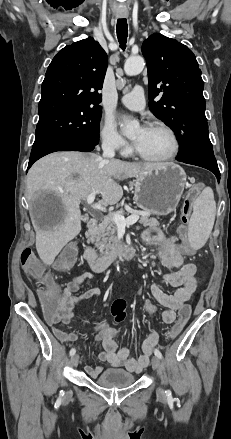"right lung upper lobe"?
Masks as SVG:
<instances>
[{
    "instance_id": "right-lung-upper-lobe-1",
    "label": "right lung upper lobe",
    "mask_w": 231,
    "mask_h": 439,
    "mask_svg": "<svg viewBox=\"0 0 231 439\" xmlns=\"http://www.w3.org/2000/svg\"><path fill=\"white\" fill-rule=\"evenodd\" d=\"M107 55L94 38L73 43L58 52L42 83L39 117L78 107H100Z\"/></svg>"
}]
</instances>
